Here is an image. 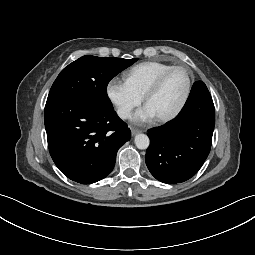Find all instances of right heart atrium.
<instances>
[{"label":"right heart atrium","instance_id":"right-heart-atrium-1","mask_svg":"<svg viewBox=\"0 0 255 255\" xmlns=\"http://www.w3.org/2000/svg\"><path fill=\"white\" fill-rule=\"evenodd\" d=\"M106 94L121 119L129 118L133 109L143 100V96L135 91L126 80L118 78H113L108 82Z\"/></svg>","mask_w":255,"mask_h":255}]
</instances>
